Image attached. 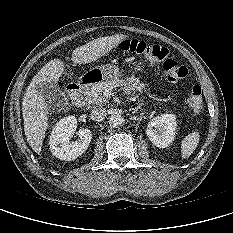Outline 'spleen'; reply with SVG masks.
<instances>
[{"mask_svg":"<svg viewBox=\"0 0 233 233\" xmlns=\"http://www.w3.org/2000/svg\"><path fill=\"white\" fill-rule=\"evenodd\" d=\"M199 137V133L193 131L182 140L181 155L183 159L188 158L195 151L199 143Z\"/></svg>","mask_w":233,"mask_h":233,"instance_id":"spleen-1","label":"spleen"}]
</instances>
